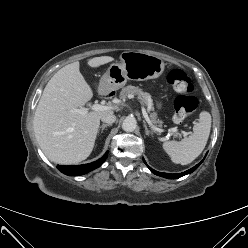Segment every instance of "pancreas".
<instances>
[{"label": "pancreas", "instance_id": "1", "mask_svg": "<svg viewBox=\"0 0 248 248\" xmlns=\"http://www.w3.org/2000/svg\"><path fill=\"white\" fill-rule=\"evenodd\" d=\"M130 94H135L138 96V98L140 99V101L145 104L146 106H148L150 108V110H153V100L151 99V96L149 93L144 92L142 89H140L139 87H135L132 85L126 86L124 87L121 92H120V98L121 100H125L128 95ZM150 120L152 121L153 124L158 125L159 127L162 126V121L157 119L156 113H151L150 114Z\"/></svg>", "mask_w": 248, "mask_h": 248}]
</instances>
